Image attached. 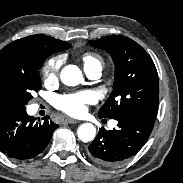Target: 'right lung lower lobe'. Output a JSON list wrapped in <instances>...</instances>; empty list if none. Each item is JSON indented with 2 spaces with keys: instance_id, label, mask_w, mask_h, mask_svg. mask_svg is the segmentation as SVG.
<instances>
[{
  "instance_id": "1",
  "label": "right lung lower lobe",
  "mask_w": 183,
  "mask_h": 183,
  "mask_svg": "<svg viewBox=\"0 0 183 183\" xmlns=\"http://www.w3.org/2000/svg\"><path fill=\"white\" fill-rule=\"evenodd\" d=\"M26 113V109H9L0 114V151L12 159H30L48 145L57 124L43 122Z\"/></svg>"
}]
</instances>
